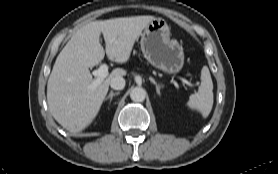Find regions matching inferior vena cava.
<instances>
[{"label": "inferior vena cava", "instance_id": "1", "mask_svg": "<svg viewBox=\"0 0 278 174\" xmlns=\"http://www.w3.org/2000/svg\"><path fill=\"white\" fill-rule=\"evenodd\" d=\"M110 86L114 90H122L125 87V79L122 76H117L111 79Z\"/></svg>", "mask_w": 278, "mask_h": 174}]
</instances>
